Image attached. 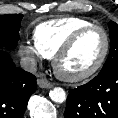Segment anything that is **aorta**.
Returning <instances> with one entry per match:
<instances>
[{
    "label": "aorta",
    "instance_id": "762f6f07",
    "mask_svg": "<svg viewBox=\"0 0 118 118\" xmlns=\"http://www.w3.org/2000/svg\"><path fill=\"white\" fill-rule=\"evenodd\" d=\"M49 96L53 102L63 103L66 100V93L61 87H55L49 92Z\"/></svg>",
    "mask_w": 118,
    "mask_h": 118
}]
</instances>
